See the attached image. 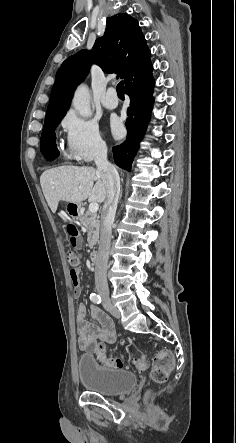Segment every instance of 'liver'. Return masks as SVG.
Masks as SVG:
<instances>
[{"label": "liver", "instance_id": "liver-1", "mask_svg": "<svg viewBox=\"0 0 236 443\" xmlns=\"http://www.w3.org/2000/svg\"><path fill=\"white\" fill-rule=\"evenodd\" d=\"M94 182H96L95 185ZM40 184L53 213L56 212L61 200L81 204L89 198L91 203H102L107 196L106 184L100 173L93 167L52 168L42 173Z\"/></svg>", "mask_w": 236, "mask_h": 443}]
</instances>
